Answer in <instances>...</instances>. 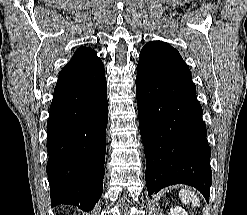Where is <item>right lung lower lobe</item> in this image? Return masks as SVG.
<instances>
[{
    "label": "right lung lower lobe",
    "instance_id": "1",
    "mask_svg": "<svg viewBox=\"0 0 247 215\" xmlns=\"http://www.w3.org/2000/svg\"><path fill=\"white\" fill-rule=\"evenodd\" d=\"M108 122L104 65L92 49L61 70L47 121L51 206L91 211L103 190Z\"/></svg>",
    "mask_w": 247,
    "mask_h": 215
}]
</instances>
